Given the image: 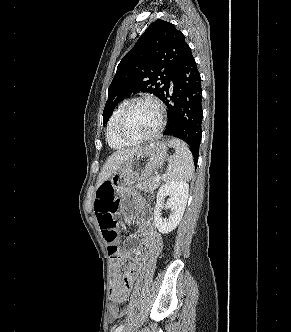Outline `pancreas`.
<instances>
[{"label":"pancreas","mask_w":291,"mask_h":332,"mask_svg":"<svg viewBox=\"0 0 291 332\" xmlns=\"http://www.w3.org/2000/svg\"><path fill=\"white\" fill-rule=\"evenodd\" d=\"M160 183L155 181V178H150L143 182L136 184V188L144 192H153L159 187Z\"/></svg>","instance_id":"pancreas-1"}]
</instances>
